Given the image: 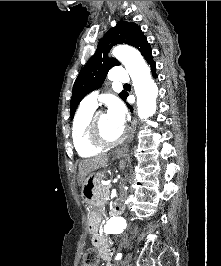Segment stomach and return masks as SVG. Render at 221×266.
I'll use <instances>...</instances> for the list:
<instances>
[{"instance_id":"stomach-1","label":"stomach","mask_w":221,"mask_h":266,"mask_svg":"<svg viewBox=\"0 0 221 266\" xmlns=\"http://www.w3.org/2000/svg\"><path fill=\"white\" fill-rule=\"evenodd\" d=\"M101 173L92 172L83 181L81 198L88 205V226L95 229L99 219L100 209L103 207L105 198L102 193L100 182Z\"/></svg>"}]
</instances>
